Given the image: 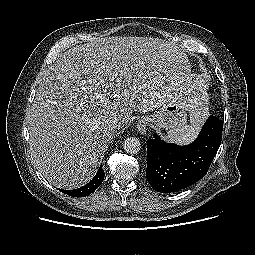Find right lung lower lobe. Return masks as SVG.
<instances>
[{
  "label": "right lung lower lobe",
  "mask_w": 255,
  "mask_h": 255,
  "mask_svg": "<svg viewBox=\"0 0 255 255\" xmlns=\"http://www.w3.org/2000/svg\"><path fill=\"white\" fill-rule=\"evenodd\" d=\"M104 175L105 173L102 167H100L95 177L85 186L74 190H59L73 197H84L93 193L99 187L104 180Z\"/></svg>",
  "instance_id": "1"
}]
</instances>
